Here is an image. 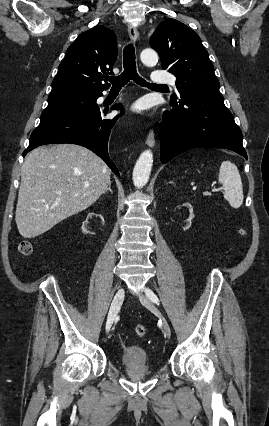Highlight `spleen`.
Masks as SVG:
<instances>
[{
  "label": "spleen",
  "mask_w": 269,
  "mask_h": 426,
  "mask_svg": "<svg viewBox=\"0 0 269 426\" xmlns=\"http://www.w3.org/2000/svg\"><path fill=\"white\" fill-rule=\"evenodd\" d=\"M218 181L224 186V198L233 208H239L243 203L244 196L237 166L229 160L223 161L219 169Z\"/></svg>",
  "instance_id": "spleen-1"
}]
</instances>
